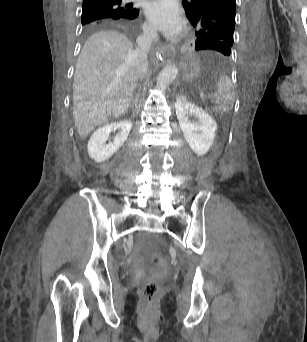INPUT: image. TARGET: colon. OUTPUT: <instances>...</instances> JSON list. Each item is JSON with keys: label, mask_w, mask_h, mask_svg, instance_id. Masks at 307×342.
Returning <instances> with one entry per match:
<instances>
[{"label": "colon", "mask_w": 307, "mask_h": 342, "mask_svg": "<svg viewBox=\"0 0 307 342\" xmlns=\"http://www.w3.org/2000/svg\"><path fill=\"white\" fill-rule=\"evenodd\" d=\"M151 267L154 269H147L146 281L142 282L141 301L142 307H157V288H162V276H167L169 267L166 266L165 261H160L158 257H153Z\"/></svg>", "instance_id": "5ec220e1"}]
</instances>
